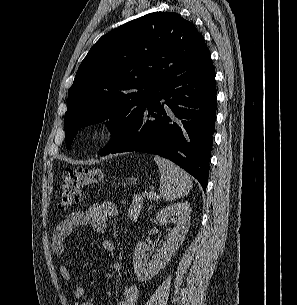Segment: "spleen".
Returning a JSON list of instances; mask_svg holds the SVG:
<instances>
[{
    "mask_svg": "<svg viewBox=\"0 0 297 305\" xmlns=\"http://www.w3.org/2000/svg\"><path fill=\"white\" fill-rule=\"evenodd\" d=\"M161 178L159 190L165 201H174L187 195L192 188L190 176L169 160L155 156Z\"/></svg>",
    "mask_w": 297,
    "mask_h": 305,
    "instance_id": "1",
    "label": "spleen"
}]
</instances>
